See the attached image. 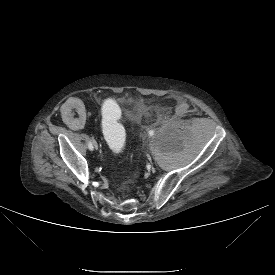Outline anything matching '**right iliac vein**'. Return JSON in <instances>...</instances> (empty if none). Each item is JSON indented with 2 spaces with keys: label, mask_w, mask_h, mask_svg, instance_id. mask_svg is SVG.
<instances>
[{
  "label": "right iliac vein",
  "mask_w": 275,
  "mask_h": 275,
  "mask_svg": "<svg viewBox=\"0 0 275 275\" xmlns=\"http://www.w3.org/2000/svg\"><path fill=\"white\" fill-rule=\"evenodd\" d=\"M93 145L95 148H98L97 142L95 140L93 141Z\"/></svg>",
  "instance_id": "63e3f726"
}]
</instances>
